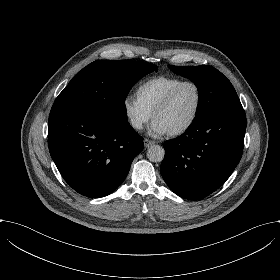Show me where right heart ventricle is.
Listing matches in <instances>:
<instances>
[{"instance_id":"1","label":"right heart ventricle","mask_w":280,"mask_h":280,"mask_svg":"<svg viewBox=\"0 0 280 280\" xmlns=\"http://www.w3.org/2000/svg\"><path fill=\"white\" fill-rule=\"evenodd\" d=\"M183 80L182 77L174 75H158L148 78L136 88L137 98L151 113H154L168 92Z\"/></svg>"}]
</instances>
